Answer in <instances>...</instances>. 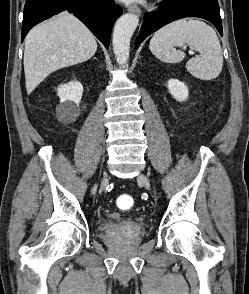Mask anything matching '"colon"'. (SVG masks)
Instances as JSON below:
<instances>
[{
    "label": "colon",
    "mask_w": 249,
    "mask_h": 294,
    "mask_svg": "<svg viewBox=\"0 0 249 294\" xmlns=\"http://www.w3.org/2000/svg\"><path fill=\"white\" fill-rule=\"evenodd\" d=\"M117 204L121 209H130L134 206L135 201L132 197L123 195L118 198Z\"/></svg>",
    "instance_id": "colon-1"
}]
</instances>
